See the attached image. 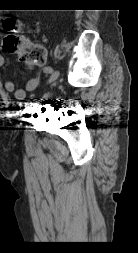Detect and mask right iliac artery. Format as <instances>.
<instances>
[{
	"label": "right iliac artery",
	"instance_id": "right-iliac-artery-1",
	"mask_svg": "<svg viewBox=\"0 0 138 253\" xmlns=\"http://www.w3.org/2000/svg\"><path fill=\"white\" fill-rule=\"evenodd\" d=\"M54 71L53 67H44L43 68V74L44 75H52Z\"/></svg>",
	"mask_w": 138,
	"mask_h": 253
}]
</instances>
